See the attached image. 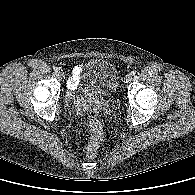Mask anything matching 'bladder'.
<instances>
[{"mask_svg":"<svg viewBox=\"0 0 195 195\" xmlns=\"http://www.w3.org/2000/svg\"><path fill=\"white\" fill-rule=\"evenodd\" d=\"M119 86V72L116 66L104 59H94L85 67L81 92L87 98L109 97Z\"/></svg>","mask_w":195,"mask_h":195,"instance_id":"1","label":"bladder"}]
</instances>
